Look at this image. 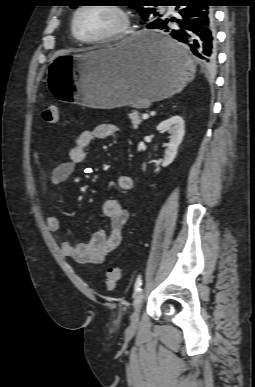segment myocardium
Masks as SVG:
<instances>
[{
	"mask_svg": "<svg viewBox=\"0 0 255 387\" xmlns=\"http://www.w3.org/2000/svg\"><path fill=\"white\" fill-rule=\"evenodd\" d=\"M90 7H103L106 9H109L117 14V16L120 19V23L116 29L111 31L110 33L97 37V38H83L77 30V18L78 15L85 9ZM130 25H131V18L127 10L120 6V5H114V4H107V5H81L79 6L73 13L72 20H71V31L73 36L81 43L84 44H105V43H112L116 41H120L123 38H125L129 32H130Z\"/></svg>",
	"mask_w": 255,
	"mask_h": 387,
	"instance_id": "f54148a6",
	"label": "myocardium"
}]
</instances>
